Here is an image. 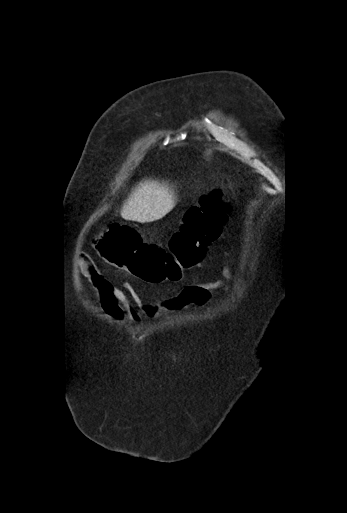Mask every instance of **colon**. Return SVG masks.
Returning a JSON list of instances; mask_svg holds the SVG:
<instances>
[{
  "label": "colon",
  "instance_id": "obj_1",
  "mask_svg": "<svg viewBox=\"0 0 347 513\" xmlns=\"http://www.w3.org/2000/svg\"><path fill=\"white\" fill-rule=\"evenodd\" d=\"M231 205L220 190L202 195L190 207L173 234L169 249L144 242L138 232L124 224H110L95 247L110 265L123 269L152 285L179 280L203 260L207 247L221 234Z\"/></svg>",
  "mask_w": 347,
  "mask_h": 513
}]
</instances>
